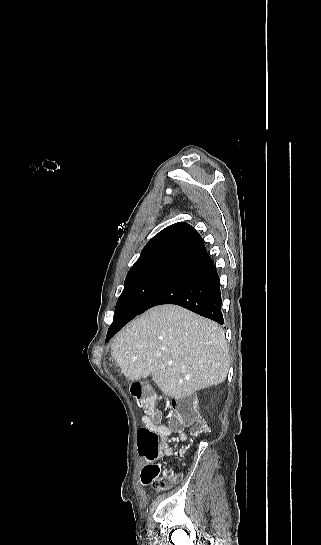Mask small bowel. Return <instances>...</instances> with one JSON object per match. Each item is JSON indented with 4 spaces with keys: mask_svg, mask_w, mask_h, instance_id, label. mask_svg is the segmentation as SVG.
Here are the masks:
<instances>
[{
    "mask_svg": "<svg viewBox=\"0 0 321 545\" xmlns=\"http://www.w3.org/2000/svg\"><path fill=\"white\" fill-rule=\"evenodd\" d=\"M141 423L142 425H144L145 427H148L153 432L157 433L163 438L169 437L174 433V431L170 427L163 424L159 419L154 420L153 418L149 416H143L141 418ZM178 435L180 436L181 439H185V435L182 432H178ZM171 454H172V449L166 443H164L162 445L161 455L170 456ZM159 472H160L159 465L155 463L154 460H148L146 465L141 470V475H140L141 484L143 485L149 484L151 475L159 473ZM178 477H179L178 478L179 480L180 479L179 473H178Z\"/></svg>",
    "mask_w": 321,
    "mask_h": 545,
    "instance_id": "1",
    "label": "small bowel"
}]
</instances>
